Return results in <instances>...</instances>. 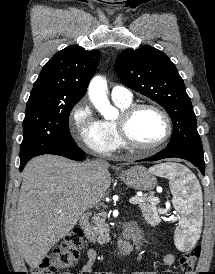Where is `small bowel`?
Listing matches in <instances>:
<instances>
[{
	"mask_svg": "<svg viewBox=\"0 0 215 274\" xmlns=\"http://www.w3.org/2000/svg\"><path fill=\"white\" fill-rule=\"evenodd\" d=\"M97 259V253L95 249L90 248L87 250V261L86 263L80 268V270L74 274H90L93 269V265ZM175 263V257L172 254H164L163 256V264L167 268H170ZM94 274H114L113 272L106 271V272H95ZM132 274H154L152 271H138L133 272ZM175 274V273H171Z\"/></svg>",
	"mask_w": 215,
	"mask_h": 274,
	"instance_id": "c3829d8e",
	"label": "small bowel"
}]
</instances>
